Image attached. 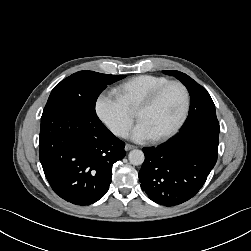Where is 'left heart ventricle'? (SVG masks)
<instances>
[{
	"label": "left heart ventricle",
	"instance_id": "b2bd125f",
	"mask_svg": "<svg viewBox=\"0 0 251 251\" xmlns=\"http://www.w3.org/2000/svg\"><path fill=\"white\" fill-rule=\"evenodd\" d=\"M184 106V94L179 86H170L154 106L137 114L154 137L169 131L178 121Z\"/></svg>",
	"mask_w": 251,
	"mask_h": 251
}]
</instances>
